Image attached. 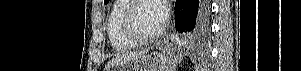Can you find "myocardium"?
I'll return each instance as SVG.
<instances>
[{"label":"myocardium","instance_id":"1","mask_svg":"<svg viewBox=\"0 0 301 71\" xmlns=\"http://www.w3.org/2000/svg\"><path fill=\"white\" fill-rule=\"evenodd\" d=\"M144 1H151V0H131L129 1L127 7L124 10L123 16H122V28L125 36L131 40L132 42L144 45L149 44L152 42H155L158 40L163 33V27H161L160 30H158L156 33L152 35H142L139 33L138 29L136 28V25L133 20V14L135 9L138 7V5Z\"/></svg>","mask_w":301,"mask_h":71}]
</instances>
